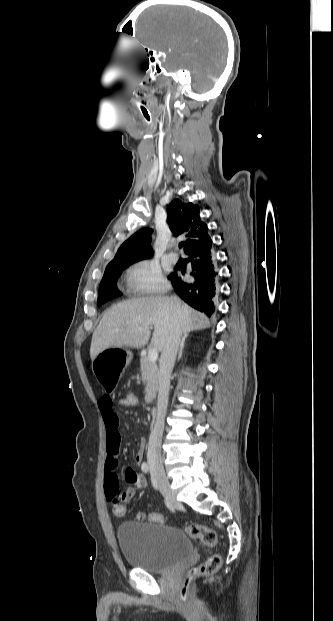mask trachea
<instances>
[{"instance_id": "trachea-1", "label": "trachea", "mask_w": 333, "mask_h": 621, "mask_svg": "<svg viewBox=\"0 0 333 621\" xmlns=\"http://www.w3.org/2000/svg\"><path fill=\"white\" fill-rule=\"evenodd\" d=\"M179 246H180V248H182V247L184 246V243H180V245H179Z\"/></svg>"}]
</instances>
